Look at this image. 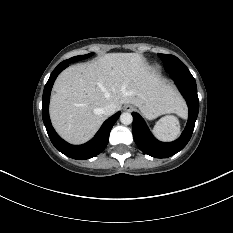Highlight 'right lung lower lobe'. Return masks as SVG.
Instances as JSON below:
<instances>
[{
  "label": "right lung lower lobe",
  "mask_w": 233,
  "mask_h": 233,
  "mask_svg": "<svg viewBox=\"0 0 233 233\" xmlns=\"http://www.w3.org/2000/svg\"><path fill=\"white\" fill-rule=\"evenodd\" d=\"M69 63L61 62L51 73L43 92L42 98V118L44 125L46 127L47 133L50 137L52 144L55 148L63 153L64 155L77 159V160H84L95 157L99 153H101L108 144L109 141V134L110 131L115 124L116 120L118 119L121 112H117L109 119H107L99 131L96 133L95 137L90 140L89 142L83 145H71L65 142L62 138L58 136L55 132L54 128L51 125V121L49 118V100H50V93L53 86V83L59 73L68 67Z\"/></svg>",
  "instance_id": "98d812e1"
}]
</instances>
